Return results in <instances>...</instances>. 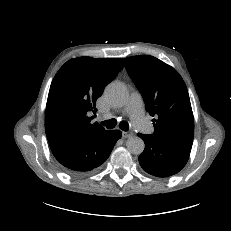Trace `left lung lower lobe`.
Listing matches in <instances>:
<instances>
[{
    "instance_id": "1",
    "label": "left lung lower lobe",
    "mask_w": 231,
    "mask_h": 231,
    "mask_svg": "<svg viewBox=\"0 0 231 231\" xmlns=\"http://www.w3.org/2000/svg\"><path fill=\"white\" fill-rule=\"evenodd\" d=\"M145 142L139 156L144 171L156 177H168L179 172L187 163L192 145L158 139L153 134L138 133Z\"/></svg>"
}]
</instances>
